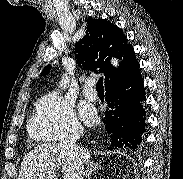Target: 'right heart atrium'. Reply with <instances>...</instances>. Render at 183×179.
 I'll use <instances>...</instances> for the list:
<instances>
[{"mask_svg":"<svg viewBox=\"0 0 183 179\" xmlns=\"http://www.w3.org/2000/svg\"><path fill=\"white\" fill-rule=\"evenodd\" d=\"M82 125L73 104L58 93H49L38 102L31 132L43 140H59L81 132Z\"/></svg>","mask_w":183,"mask_h":179,"instance_id":"d8ad5b80","label":"right heart atrium"}]
</instances>
